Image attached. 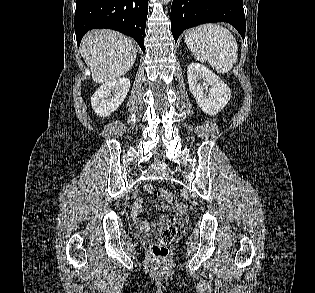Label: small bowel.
Returning <instances> with one entry per match:
<instances>
[{
  "instance_id": "c3829d8e",
  "label": "small bowel",
  "mask_w": 315,
  "mask_h": 293,
  "mask_svg": "<svg viewBox=\"0 0 315 293\" xmlns=\"http://www.w3.org/2000/svg\"><path fill=\"white\" fill-rule=\"evenodd\" d=\"M152 191H153V188L150 184L145 185L143 188V195L141 197L137 198L135 200V202L133 203V206H132V211H131L132 216L135 219L137 225L142 230H147L149 228V224L146 221L142 220L140 215L144 210L143 203H144L145 199L152 193ZM161 208L166 210L167 214H162L159 217V219L153 223V229L154 230H159L164 224L169 222V216L168 215H176V213H177L176 208H172V207H169L167 205H162ZM178 219L180 220L179 216H178Z\"/></svg>"
}]
</instances>
